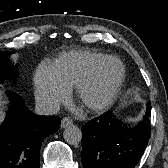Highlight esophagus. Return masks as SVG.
<instances>
[{"instance_id": "34e87169", "label": "esophagus", "mask_w": 168, "mask_h": 168, "mask_svg": "<svg viewBox=\"0 0 168 168\" xmlns=\"http://www.w3.org/2000/svg\"><path fill=\"white\" fill-rule=\"evenodd\" d=\"M73 124V120L69 117H64L61 121V128H65Z\"/></svg>"}]
</instances>
